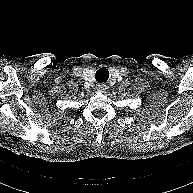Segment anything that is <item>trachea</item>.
Here are the masks:
<instances>
[{
  "instance_id": "1",
  "label": "trachea",
  "mask_w": 193,
  "mask_h": 193,
  "mask_svg": "<svg viewBox=\"0 0 193 193\" xmlns=\"http://www.w3.org/2000/svg\"><path fill=\"white\" fill-rule=\"evenodd\" d=\"M109 78V71L106 68H100L95 74V79L98 82L105 83Z\"/></svg>"
}]
</instances>
